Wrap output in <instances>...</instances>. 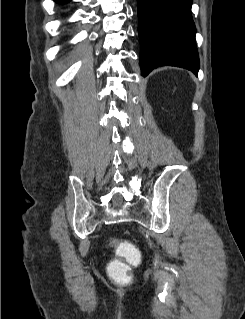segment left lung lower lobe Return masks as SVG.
<instances>
[{
	"label": "left lung lower lobe",
	"mask_w": 245,
	"mask_h": 319,
	"mask_svg": "<svg viewBox=\"0 0 245 319\" xmlns=\"http://www.w3.org/2000/svg\"><path fill=\"white\" fill-rule=\"evenodd\" d=\"M192 1L137 0L143 76L165 65L186 68L197 75L200 64Z\"/></svg>",
	"instance_id": "left-lung-lower-lobe-1"
}]
</instances>
